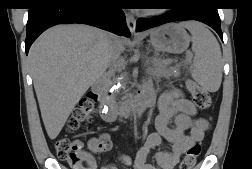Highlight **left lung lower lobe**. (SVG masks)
Listing matches in <instances>:
<instances>
[{"mask_svg":"<svg viewBox=\"0 0 252 169\" xmlns=\"http://www.w3.org/2000/svg\"><path fill=\"white\" fill-rule=\"evenodd\" d=\"M171 6L172 10L164 15L150 19H138L137 31H144L174 21L196 20L212 27L223 40L215 0H174Z\"/></svg>","mask_w":252,"mask_h":169,"instance_id":"0a47b994","label":"left lung lower lobe"}]
</instances>
